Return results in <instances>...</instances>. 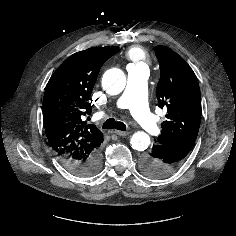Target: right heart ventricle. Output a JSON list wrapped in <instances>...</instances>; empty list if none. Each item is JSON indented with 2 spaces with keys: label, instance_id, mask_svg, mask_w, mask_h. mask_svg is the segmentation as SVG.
<instances>
[{
  "label": "right heart ventricle",
  "instance_id": "e07e8e85",
  "mask_svg": "<svg viewBox=\"0 0 236 236\" xmlns=\"http://www.w3.org/2000/svg\"><path fill=\"white\" fill-rule=\"evenodd\" d=\"M126 57L132 61V65H141L147 62L146 52L139 47H133L128 50Z\"/></svg>",
  "mask_w": 236,
  "mask_h": 236
}]
</instances>
